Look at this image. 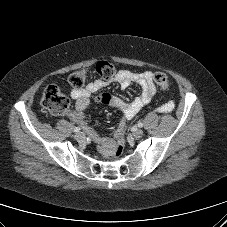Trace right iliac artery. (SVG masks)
<instances>
[{
    "instance_id": "82829eb1",
    "label": "right iliac artery",
    "mask_w": 227,
    "mask_h": 227,
    "mask_svg": "<svg viewBox=\"0 0 227 227\" xmlns=\"http://www.w3.org/2000/svg\"><path fill=\"white\" fill-rule=\"evenodd\" d=\"M80 130H81L80 127H75L73 131L77 133V132H79Z\"/></svg>"
}]
</instances>
